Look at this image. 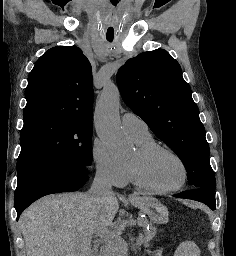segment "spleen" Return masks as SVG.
Segmentation results:
<instances>
[{
    "label": "spleen",
    "instance_id": "1",
    "mask_svg": "<svg viewBox=\"0 0 236 256\" xmlns=\"http://www.w3.org/2000/svg\"><path fill=\"white\" fill-rule=\"evenodd\" d=\"M175 256H200V250L195 242H183L178 246Z\"/></svg>",
    "mask_w": 236,
    "mask_h": 256
}]
</instances>
